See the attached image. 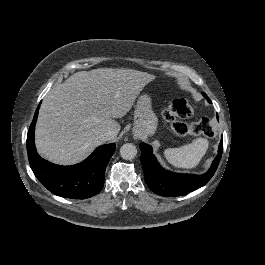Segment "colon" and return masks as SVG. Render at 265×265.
<instances>
[{
	"mask_svg": "<svg viewBox=\"0 0 265 265\" xmlns=\"http://www.w3.org/2000/svg\"><path fill=\"white\" fill-rule=\"evenodd\" d=\"M193 112L194 108L185 99H175L164 110L163 118L178 136L204 135L206 137H215L217 130L207 118H202L190 125L184 122Z\"/></svg>",
	"mask_w": 265,
	"mask_h": 265,
	"instance_id": "5ec220e1",
	"label": "colon"
}]
</instances>
